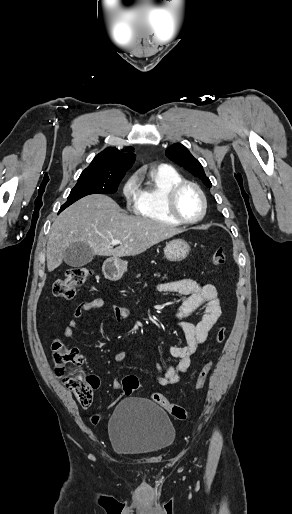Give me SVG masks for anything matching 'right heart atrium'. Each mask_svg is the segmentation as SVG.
Returning <instances> with one entry per match:
<instances>
[{
    "label": "right heart atrium",
    "instance_id": "1",
    "mask_svg": "<svg viewBox=\"0 0 292 514\" xmlns=\"http://www.w3.org/2000/svg\"><path fill=\"white\" fill-rule=\"evenodd\" d=\"M121 195L124 201L125 206L128 209H132L135 205L138 195H139V187L137 184V178L132 175L124 180L121 185Z\"/></svg>",
    "mask_w": 292,
    "mask_h": 514
}]
</instances>
